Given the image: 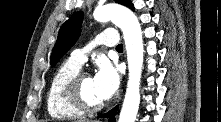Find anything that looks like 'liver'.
<instances>
[{
  "label": "liver",
  "mask_w": 221,
  "mask_h": 122,
  "mask_svg": "<svg viewBox=\"0 0 221 122\" xmlns=\"http://www.w3.org/2000/svg\"><path fill=\"white\" fill-rule=\"evenodd\" d=\"M78 122H89V120H86V119H80Z\"/></svg>",
  "instance_id": "6515ba94"
}]
</instances>
